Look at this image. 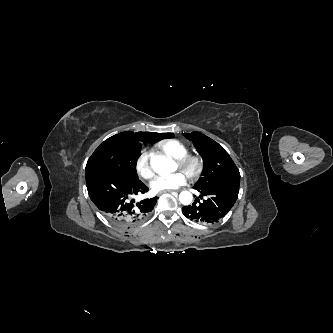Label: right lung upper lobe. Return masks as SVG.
<instances>
[{
    "instance_id": "1",
    "label": "right lung upper lobe",
    "mask_w": 333,
    "mask_h": 333,
    "mask_svg": "<svg viewBox=\"0 0 333 333\" xmlns=\"http://www.w3.org/2000/svg\"><path fill=\"white\" fill-rule=\"evenodd\" d=\"M123 136L125 140L129 143V148L134 152L141 151V142L147 143V142H157L160 139L158 138L157 133H151V132H123Z\"/></svg>"
}]
</instances>
